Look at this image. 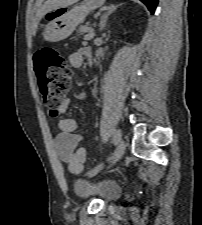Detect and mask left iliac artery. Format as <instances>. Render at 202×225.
<instances>
[{
	"mask_svg": "<svg viewBox=\"0 0 202 225\" xmlns=\"http://www.w3.org/2000/svg\"><path fill=\"white\" fill-rule=\"evenodd\" d=\"M116 133V132H115ZM119 137L117 134L115 135V141L117 142ZM104 163L99 164L98 166L95 167V169L92 171L91 175H96L98 174L102 169H103Z\"/></svg>",
	"mask_w": 202,
	"mask_h": 225,
	"instance_id": "44dca946",
	"label": "left iliac artery"
}]
</instances>
